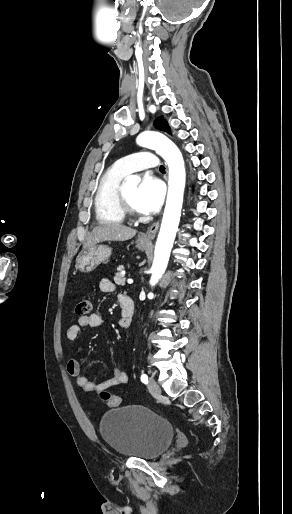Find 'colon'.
Segmentation results:
<instances>
[{
  "instance_id": "colon-1",
  "label": "colon",
  "mask_w": 292,
  "mask_h": 514,
  "mask_svg": "<svg viewBox=\"0 0 292 514\" xmlns=\"http://www.w3.org/2000/svg\"><path fill=\"white\" fill-rule=\"evenodd\" d=\"M90 311H91L90 300L82 299L76 303V313L78 315H87L90 313ZM100 397H101L102 401L104 402V404H106V406L111 409H116L121 404L120 397L113 395L107 391H102L100 393Z\"/></svg>"
}]
</instances>
